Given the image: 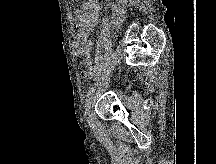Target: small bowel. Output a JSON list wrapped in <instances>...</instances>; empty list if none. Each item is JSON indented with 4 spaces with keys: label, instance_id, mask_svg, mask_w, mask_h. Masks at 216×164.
<instances>
[{
    "label": "small bowel",
    "instance_id": "small-bowel-1",
    "mask_svg": "<svg viewBox=\"0 0 216 164\" xmlns=\"http://www.w3.org/2000/svg\"><path fill=\"white\" fill-rule=\"evenodd\" d=\"M125 6L126 0H113L111 5L113 24H120L125 16ZM99 11L98 0H86L82 7L76 11V38L73 43V49L77 56L83 57V64L88 66H92L90 35L99 21Z\"/></svg>",
    "mask_w": 216,
    "mask_h": 164
}]
</instances>
